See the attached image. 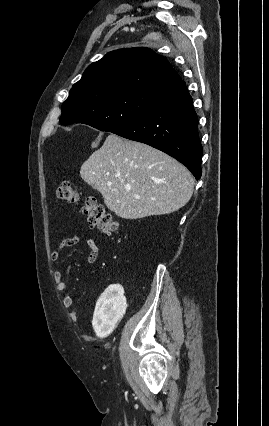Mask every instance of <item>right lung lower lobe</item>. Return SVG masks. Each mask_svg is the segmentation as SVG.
Instances as JSON below:
<instances>
[{"label":"right lung lower lobe","instance_id":"1","mask_svg":"<svg viewBox=\"0 0 269 426\" xmlns=\"http://www.w3.org/2000/svg\"><path fill=\"white\" fill-rule=\"evenodd\" d=\"M112 133L167 153L200 179L202 146L198 118L184 81L163 88L143 116Z\"/></svg>","mask_w":269,"mask_h":426}]
</instances>
